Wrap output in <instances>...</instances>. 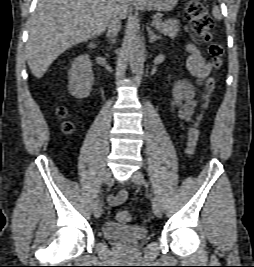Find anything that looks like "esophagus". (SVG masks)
Here are the masks:
<instances>
[{
  "label": "esophagus",
  "mask_w": 254,
  "mask_h": 267,
  "mask_svg": "<svg viewBox=\"0 0 254 267\" xmlns=\"http://www.w3.org/2000/svg\"><path fill=\"white\" fill-rule=\"evenodd\" d=\"M130 1H132V2H140L142 0H130Z\"/></svg>",
  "instance_id": "obj_1"
}]
</instances>
